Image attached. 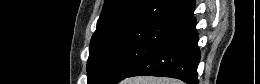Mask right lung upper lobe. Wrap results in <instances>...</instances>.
Returning <instances> with one entry per match:
<instances>
[{"label": "right lung upper lobe", "instance_id": "obj_1", "mask_svg": "<svg viewBox=\"0 0 260 84\" xmlns=\"http://www.w3.org/2000/svg\"><path fill=\"white\" fill-rule=\"evenodd\" d=\"M194 0H106L91 42L138 23L178 26L193 16Z\"/></svg>", "mask_w": 260, "mask_h": 84}]
</instances>
